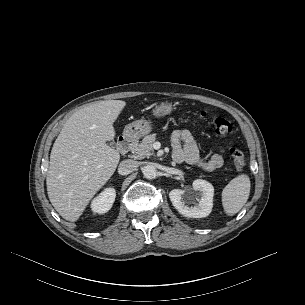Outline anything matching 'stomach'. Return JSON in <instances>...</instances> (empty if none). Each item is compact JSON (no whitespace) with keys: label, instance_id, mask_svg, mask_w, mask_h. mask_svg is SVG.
Wrapping results in <instances>:
<instances>
[{"label":"stomach","instance_id":"obj_1","mask_svg":"<svg viewBox=\"0 0 305 305\" xmlns=\"http://www.w3.org/2000/svg\"><path fill=\"white\" fill-rule=\"evenodd\" d=\"M173 111V105L169 102L161 103L156 106L152 113L154 117L161 118ZM152 131V122L146 119H140L133 121L125 126L123 130V136L127 140L138 139Z\"/></svg>","mask_w":305,"mask_h":305}]
</instances>
